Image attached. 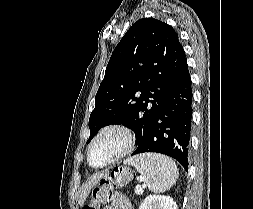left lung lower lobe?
Segmentation results:
<instances>
[{
    "instance_id": "left-lung-lower-lobe-1",
    "label": "left lung lower lobe",
    "mask_w": 253,
    "mask_h": 209,
    "mask_svg": "<svg viewBox=\"0 0 253 209\" xmlns=\"http://www.w3.org/2000/svg\"><path fill=\"white\" fill-rule=\"evenodd\" d=\"M192 88L187 61L181 66L147 138L132 155L156 152L176 159L188 171Z\"/></svg>"
}]
</instances>
